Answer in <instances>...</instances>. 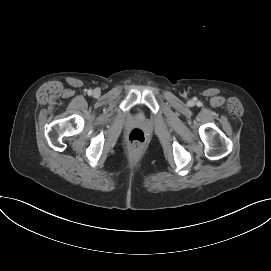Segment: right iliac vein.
<instances>
[{"label":"right iliac vein","mask_w":271,"mask_h":271,"mask_svg":"<svg viewBox=\"0 0 271 271\" xmlns=\"http://www.w3.org/2000/svg\"><path fill=\"white\" fill-rule=\"evenodd\" d=\"M93 94H94V96H98V95H99L98 90H95V91L93 92Z\"/></svg>","instance_id":"1"}]
</instances>
